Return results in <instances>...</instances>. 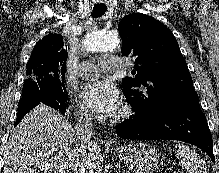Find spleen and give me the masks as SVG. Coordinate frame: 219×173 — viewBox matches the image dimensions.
<instances>
[{
  "label": "spleen",
  "instance_id": "3e777b00",
  "mask_svg": "<svg viewBox=\"0 0 219 173\" xmlns=\"http://www.w3.org/2000/svg\"><path fill=\"white\" fill-rule=\"evenodd\" d=\"M175 154L186 173H208L207 167L198 154L183 143L175 146Z\"/></svg>",
  "mask_w": 219,
  "mask_h": 173
}]
</instances>
